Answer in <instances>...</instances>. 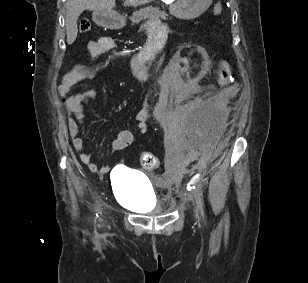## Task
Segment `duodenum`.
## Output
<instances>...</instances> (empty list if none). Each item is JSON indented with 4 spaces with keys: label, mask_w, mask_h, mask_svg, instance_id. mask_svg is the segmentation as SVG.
<instances>
[{
    "label": "duodenum",
    "mask_w": 308,
    "mask_h": 283,
    "mask_svg": "<svg viewBox=\"0 0 308 283\" xmlns=\"http://www.w3.org/2000/svg\"><path fill=\"white\" fill-rule=\"evenodd\" d=\"M101 22L103 24H108L109 20L108 19H101ZM165 40V32L160 30L157 38H151L149 40V42L147 43V45L145 46L146 50H142L140 52V55L142 56V60H144L145 62H150L152 60V57L155 55V52L157 50V48H159L160 45H162V43Z\"/></svg>",
    "instance_id": "obj_1"
}]
</instances>
